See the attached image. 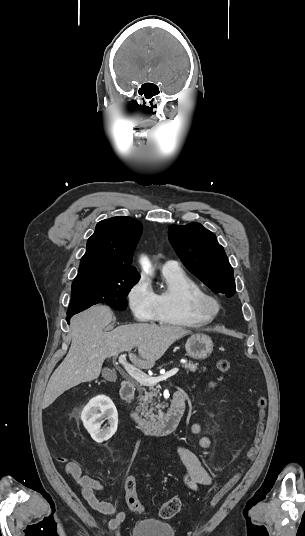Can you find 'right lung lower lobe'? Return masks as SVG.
<instances>
[{
  "label": "right lung lower lobe",
  "mask_w": 305,
  "mask_h": 536,
  "mask_svg": "<svg viewBox=\"0 0 305 536\" xmlns=\"http://www.w3.org/2000/svg\"><path fill=\"white\" fill-rule=\"evenodd\" d=\"M74 314H76V313H68V312H67L66 320H67L68 323H70V318H71Z\"/></svg>",
  "instance_id": "right-lung-lower-lobe-1"
}]
</instances>
